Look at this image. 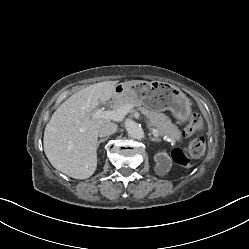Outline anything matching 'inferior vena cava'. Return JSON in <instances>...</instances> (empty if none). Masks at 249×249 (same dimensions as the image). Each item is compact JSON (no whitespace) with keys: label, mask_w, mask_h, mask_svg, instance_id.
<instances>
[{"label":"inferior vena cava","mask_w":249,"mask_h":249,"mask_svg":"<svg viewBox=\"0 0 249 249\" xmlns=\"http://www.w3.org/2000/svg\"><path fill=\"white\" fill-rule=\"evenodd\" d=\"M117 131V125L113 122H107L100 126L98 130L99 137H108Z\"/></svg>","instance_id":"obj_1"}]
</instances>
